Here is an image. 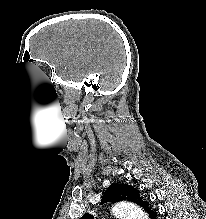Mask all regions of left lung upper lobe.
I'll list each match as a JSON object with an SVG mask.
<instances>
[{"mask_svg":"<svg viewBox=\"0 0 206 219\" xmlns=\"http://www.w3.org/2000/svg\"><path fill=\"white\" fill-rule=\"evenodd\" d=\"M122 200H127L138 204L139 206L144 207V209L149 210L148 203L144 202L140 195L139 191L128 184H113L111 185L102 196L100 204L106 202H118ZM79 219H94L91 214H84Z\"/></svg>","mask_w":206,"mask_h":219,"instance_id":"left-lung-upper-lobe-1","label":"left lung upper lobe"}]
</instances>
